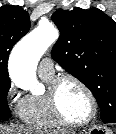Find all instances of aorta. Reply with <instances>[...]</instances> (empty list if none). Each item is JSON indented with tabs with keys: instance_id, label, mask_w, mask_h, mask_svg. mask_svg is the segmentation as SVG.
<instances>
[{
	"instance_id": "762f6f07",
	"label": "aorta",
	"mask_w": 116,
	"mask_h": 134,
	"mask_svg": "<svg viewBox=\"0 0 116 134\" xmlns=\"http://www.w3.org/2000/svg\"><path fill=\"white\" fill-rule=\"evenodd\" d=\"M58 36V31L51 24L41 22L15 45L10 55L9 74L16 86L31 92L39 90L37 63Z\"/></svg>"
}]
</instances>
